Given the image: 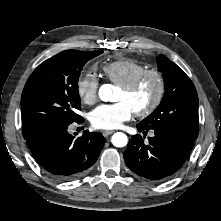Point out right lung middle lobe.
Segmentation results:
<instances>
[{"instance_id":"obj_1","label":"right lung middle lobe","mask_w":221,"mask_h":221,"mask_svg":"<svg viewBox=\"0 0 221 221\" xmlns=\"http://www.w3.org/2000/svg\"><path fill=\"white\" fill-rule=\"evenodd\" d=\"M64 52V51H63ZM40 64L21 97L22 131L29 138L50 127L82 119L78 79L83 66L102 51L68 50Z\"/></svg>"}]
</instances>
